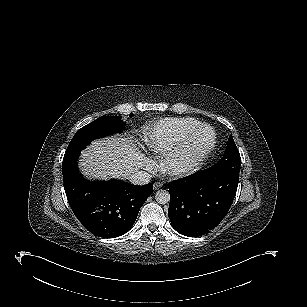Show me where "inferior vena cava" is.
<instances>
[{
  "mask_svg": "<svg viewBox=\"0 0 307 307\" xmlns=\"http://www.w3.org/2000/svg\"><path fill=\"white\" fill-rule=\"evenodd\" d=\"M151 175L146 171H135L130 176V183L134 185H145L151 181Z\"/></svg>",
  "mask_w": 307,
  "mask_h": 307,
  "instance_id": "1",
  "label": "inferior vena cava"
}]
</instances>
